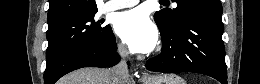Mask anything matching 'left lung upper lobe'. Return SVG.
Returning a JSON list of instances; mask_svg holds the SVG:
<instances>
[{
  "mask_svg": "<svg viewBox=\"0 0 260 84\" xmlns=\"http://www.w3.org/2000/svg\"><path fill=\"white\" fill-rule=\"evenodd\" d=\"M177 7L161 9L154 15L157 26L164 30L175 28L190 13L222 14L220 0H175Z\"/></svg>",
  "mask_w": 260,
  "mask_h": 84,
  "instance_id": "1",
  "label": "left lung upper lobe"
}]
</instances>
